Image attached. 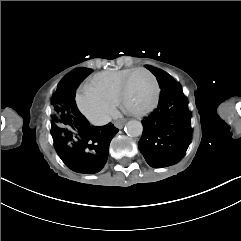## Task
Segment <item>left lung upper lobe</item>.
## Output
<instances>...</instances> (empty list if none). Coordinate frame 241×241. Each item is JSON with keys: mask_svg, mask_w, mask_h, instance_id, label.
Instances as JSON below:
<instances>
[{"mask_svg": "<svg viewBox=\"0 0 241 241\" xmlns=\"http://www.w3.org/2000/svg\"><path fill=\"white\" fill-rule=\"evenodd\" d=\"M146 68L149 69L157 77L161 89H164L171 84L177 83L169 74L160 69H156L150 66H146Z\"/></svg>", "mask_w": 241, "mask_h": 241, "instance_id": "left-lung-upper-lobe-1", "label": "left lung upper lobe"}]
</instances>
